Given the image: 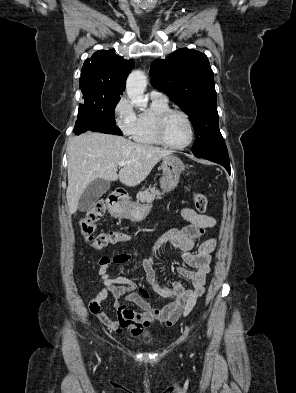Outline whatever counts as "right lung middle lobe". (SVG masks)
Masks as SVG:
<instances>
[{
    "mask_svg": "<svg viewBox=\"0 0 296 393\" xmlns=\"http://www.w3.org/2000/svg\"><path fill=\"white\" fill-rule=\"evenodd\" d=\"M120 96L108 98H85L78 109V120L93 119L109 125H116L115 107Z\"/></svg>",
    "mask_w": 296,
    "mask_h": 393,
    "instance_id": "1",
    "label": "right lung middle lobe"
}]
</instances>
